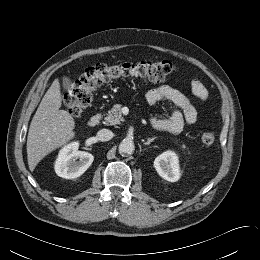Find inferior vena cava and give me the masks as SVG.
<instances>
[{"label": "inferior vena cava", "instance_id": "obj_1", "mask_svg": "<svg viewBox=\"0 0 260 260\" xmlns=\"http://www.w3.org/2000/svg\"><path fill=\"white\" fill-rule=\"evenodd\" d=\"M113 136H114L113 132L110 131L109 129H101L97 132L96 135V137L100 141H109L110 139L113 138Z\"/></svg>", "mask_w": 260, "mask_h": 260}]
</instances>
